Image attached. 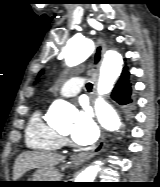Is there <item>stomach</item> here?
I'll return each mask as SVG.
<instances>
[{"label": "stomach", "instance_id": "0dacf381", "mask_svg": "<svg viewBox=\"0 0 160 187\" xmlns=\"http://www.w3.org/2000/svg\"><path fill=\"white\" fill-rule=\"evenodd\" d=\"M60 174L55 168L39 169L33 175L28 186L30 187H48L53 186L52 182H59Z\"/></svg>", "mask_w": 160, "mask_h": 187}]
</instances>
